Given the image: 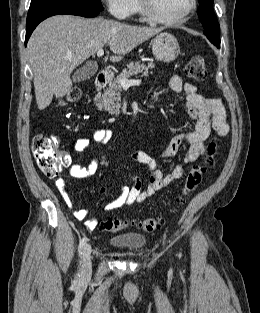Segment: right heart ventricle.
<instances>
[{
  "instance_id": "right-heart-ventricle-1",
  "label": "right heart ventricle",
  "mask_w": 260,
  "mask_h": 313,
  "mask_svg": "<svg viewBox=\"0 0 260 313\" xmlns=\"http://www.w3.org/2000/svg\"><path fill=\"white\" fill-rule=\"evenodd\" d=\"M135 10H140L138 3L135 0Z\"/></svg>"
}]
</instances>
